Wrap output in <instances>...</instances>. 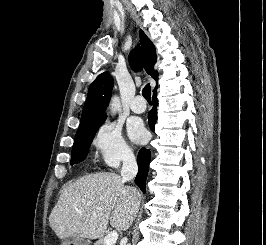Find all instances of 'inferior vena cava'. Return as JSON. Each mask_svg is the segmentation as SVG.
<instances>
[{
	"label": "inferior vena cava",
	"mask_w": 266,
	"mask_h": 245,
	"mask_svg": "<svg viewBox=\"0 0 266 245\" xmlns=\"http://www.w3.org/2000/svg\"><path fill=\"white\" fill-rule=\"evenodd\" d=\"M138 173V165L133 153L130 155H124L123 165L121 169V177L123 181H131Z\"/></svg>",
	"instance_id": "obj_1"
}]
</instances>
